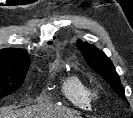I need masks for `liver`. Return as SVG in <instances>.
Returning a JSON list of instances; mask_svg holds the SVG:
<instances>
[{
    "mask_svg": "<svg viewBox=\"0 0 133 118\" xmlns=\"http://www.w3.org/2000/svg\"><path fill=\"white\" fill-rule=\"evenodd\" d=\"M0 118H80L79 114L67 108L51 105H36L13 110L12 107L0 108Z\"/></svg>",
    "mask_w": 133,
    "mask_h": 118,
    "instance_id": "6515ba94",
    "label": "liver"
}]
</instances>
